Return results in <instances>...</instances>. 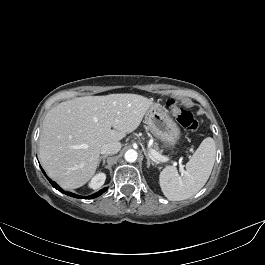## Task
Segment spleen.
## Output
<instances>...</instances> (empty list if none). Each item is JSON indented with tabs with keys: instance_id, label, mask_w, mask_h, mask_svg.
<instances>
[{
	"instance_id": "3e777b00",
	"label": "spleen",
	"mask_w": 265,
	"mask_h": 265,
	"mask_svg": "<svg viewBox=\"0 0 265 265\" xmlns=\"http://www.w3.org/2000/svg\"><path fill=\"white\" fill-rule=\"evenodd\" d=\"M216 157L213 138H205L179 174L174 166L165 167L159 176L164 196L171 201L185 200L195 195L207 182Z\"/></svg>"
}]
</instances>
